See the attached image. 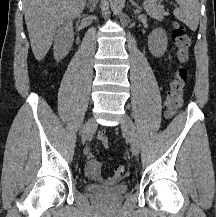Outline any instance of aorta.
I'll return each instance as SVG.
<instances>
[{"instance_id":"obj_1","label":"aorta","mask_w":216,"mask_h":217,"mask_svg":"<svg viewBox=\"0 0 216 217\" xmlns=\"http://www.w3.org/2000/svg\"><path fill=\"white\" fill-rule=\"evenodd\" d=\"M110 6L114 14H118L121 9L122 0H109Z\"/></svg>"}]
</instances>
